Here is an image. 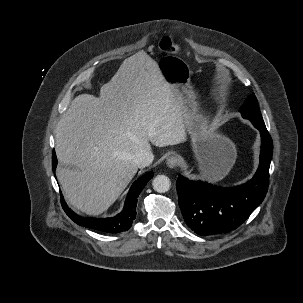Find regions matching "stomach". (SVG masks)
<instances>
[{"instance_id":"stomach-1","label":"stomach","mask_w":303,"mask_h":303,"mask_svg":"<svg viewBox=\"0 0 303 303\" xmlns=\"http://www.w3.org/2000/svg\"><path fill=\"white\" fill-rule=\"evenodd\" d=\"M157 65L185 107L186 127L201 176L213 182L223 179L236 161L237 150L229 138L213 131L208 118L199 113L189 65L172 55L162 57Z\"/></svg>"}]
</instances>
